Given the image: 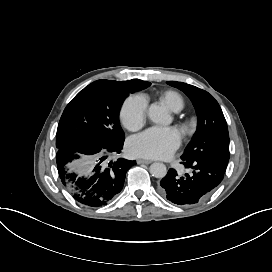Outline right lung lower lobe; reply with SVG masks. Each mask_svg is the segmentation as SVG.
Wrapping results in <instances>:
<instances>
[{"label": "right lung lower lobe", "instance_id": "1", "mask_svg": "<svg viewBox=\"0 0 272 272\" xmlns=\"http://www.w3.org/2000/svg\"><path fill=\"white\" fill-rule=\"evenodd\" d=\"M123 143L107 146L78 140L58 148L59 177L74 199L86 206L101 207L117 196L123 188L126 172L136 164L121 158L106 164L108 155L121 153Z\"/></svg>", "mask_w": 272, "mask_h": 272}]
</instances>
